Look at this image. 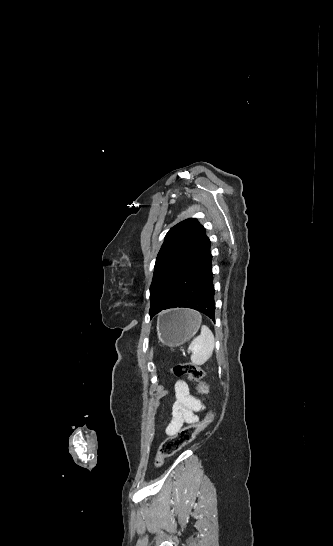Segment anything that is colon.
<instances>
[{
  "label": "colon",
  "instance_id": "obj_1",
  "mask_svg": "<svg viewBox=\"0 0 333 546\" xmlns=\"http://www.w3.org/2000/svg\"><path fill=\"white\" fill-rule=\"evenodd\" d=\"M171 373L177 377H186L195 385V389L200 396H206L208 387L204 381V371L196 364L190 361L177 363L171 368ZM213 416V413L209 411L201 421L185 426L174 435H170L164 439L156 455L155 465L160 467L166 458L173 456L182 447L192 442L213 420Z\"/></svg>",
  "mask_w": 333,
  "mask_h": 546
}]
</instances>
